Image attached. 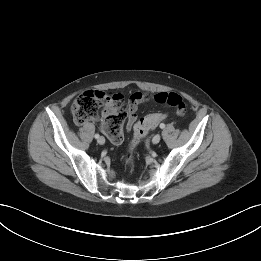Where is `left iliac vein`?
Wrapping results in <instances>:
<instances>
[{"label": "left iliac vein", "mask_w": 261, "mask_h": 261, "mask_svg": "<svg viewBox=\"0 0 261 261\" xmlns=\"http://www.w3.org/2000/svg\"><path fill=\"white\" fill-rule=\"evenodd\" d=\"M161 140V136L159 134H156L153 138H152V143L153 144H158Z\"/></svg>", "instance_id": "obj_1"}]
</instances>
